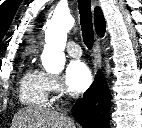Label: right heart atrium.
Returning <instances> with one entry per match:
<instances>
[{"label":"right heart atrium","instance_id":"obj_1","mask_svg":"<svg viewBox=\"0 0 142 128\" xmlns=\"http://www.w3.org/2000/svg\"><path fill=\"white\" fill-rule=\"evenodd\" d=\"M44 77L48 93L55 95H61L63 93V86L58 77L50 74H44Z\"/></svg>","mask_w":142,"mask_h":128}]
</instances>
